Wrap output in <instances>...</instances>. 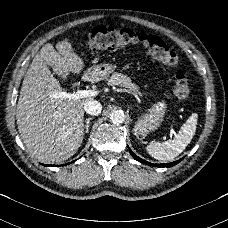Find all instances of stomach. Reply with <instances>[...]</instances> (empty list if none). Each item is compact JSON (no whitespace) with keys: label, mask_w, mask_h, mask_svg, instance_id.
I'll return each mask as SVG.
<instances>
[{"label":"stomach","mask_w":228,"mask_h":228,"mask_svg":"<svg viewBox=\"0 0 228 228\" xmlns=\"http://www.w3.org/2000/svg\"><path fill=\"white\" fill-rule=\"evenodd\" d=\"M118 69L116 64H101L91 67L86 71V77L90 80H107L111 74ZM169 107L165 100L154 102L142 114L137 115L134 125V133L140 137H147L150 133L157 131L163 124Z\"/></svg>","instance_id":"1"}]
</instances>
